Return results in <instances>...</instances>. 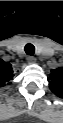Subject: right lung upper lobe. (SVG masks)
I'll list each match as a JSON object with an SVG mask.
<instances>
[{"mask_svg":"<svg viewBox=\"0 0 63 123\" xmlns=\"http://www.w3.org/2000/svg\"><path fill=\"white\" fill-rule=\"evenodd\" d=\"M15 73L8 62L1 61L0 63V86H5L11 84Z\"/></svg>","mask_w":63,"mask_h":123,"instance_id":"1","label":"right lung upper lobe"}]
</instances>
